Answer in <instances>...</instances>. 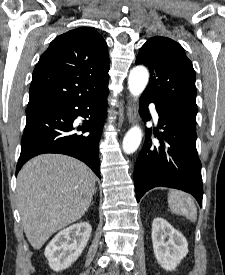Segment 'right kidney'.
Instances as JSON below:
<instances>
[{
  "instance_id": "ca27d5eb",
  "label": "right kidney",
  "mask_w": 225,
  "mask_h": 275,
  "mask_svg": "<svg viewBox=\"0 0 225 275\" xmlns=\"http://www.w3.org/2000/svg\"><path fill=\"white\" fill-rule=\"evenodd\" d=\"M91 231L88 222H80L60 231L44 251L50 268L59 272L70 267L86 247Z\"/></svg>"
}]
</instances>
